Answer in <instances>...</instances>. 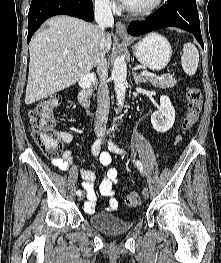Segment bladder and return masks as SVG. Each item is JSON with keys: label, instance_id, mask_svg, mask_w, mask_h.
Wrapping results in <instances>:
<instances>
[{"label": "bladder", "instance_id": "31cf9c89", "mask_svg": "<svg viewBox=\"0 0 221 263\" xmlns=\"http://www.w3.org/2000/svg\"><path fill=\"white\" fill-rule=\"evenodd\" d=\"M88 222L92 228L108 236L126 233L134 226V221L124 220L114 214L91 215Z\"/></svg>", "mask_w": 221, "mask_h": 263}]
</instances>
